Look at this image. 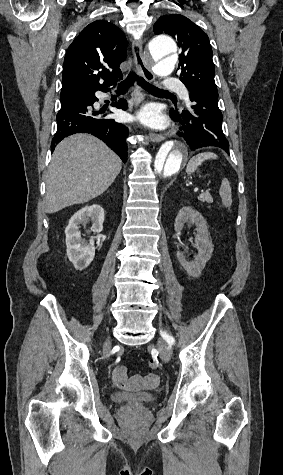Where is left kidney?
<instances>
[{
	"mask_svg": "<svg viewBox=\"0 0 283 475\" xmlns=\"http://www.w3.org/2000/svg\"><path fill=\"white\" fill-rule=\"evenodd\" d=\"M186 222H191V224H195V226H197L196 230L198 234H196L195 243L199 251L197 255H195V259L188 261V259H186V255H184V251H180V249H178L176 253L177 259L180 261L182 267L186 269L188 275H192V277H200L202 269H204L206 265V261H208L212 255L214 245L211 239H209L206 226L207 222H205L200 212H196V210H193V208H190V206L181 208L180 212H178L175 218V232H181Z\"/></svg>",
	"mask_w": 283,
	"mask_h": 475,
	"instance_id": "5707ae66",
	"label": "left kidney"
}]
</instances>
